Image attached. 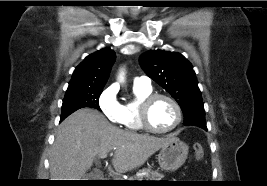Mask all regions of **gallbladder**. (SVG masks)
Wrapping results in <instances>:
<instances>
[{
	"mask_svg": "<svg viewBox=\"0 0 267 186\" xmlns=\"http://www.w3.org/2000/svg\"><path fill=\"white\" fill-rule=\"evenodd\" d=\"M92 177H94V173L93 172L87 173V174L84 175V178H86V179L92 178Z\"/></svg>",
	"mask_w": 267,
	"mask_h": 186,
	"instance_id": "1",
	"label": "gallbladder"
}]
</instances>
